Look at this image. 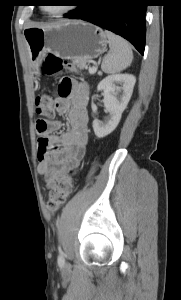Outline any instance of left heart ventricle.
<instances>
[{"label":"left heart ventricle","instance_id":"1","mask_svg":"<svg viewBox=\"0 0 181 300\" xmlns=\"http://www.w3.org/2000/svg\"><path fill=\"white\" fill-rule=\"evenodd\" d=\"M49 2H51L52 4H48L45 6L46 11L49 13H57L61 11L66 7L64 4L67 3L66 1H49ZM53 4H58V5H53Z\"/></svg>","mask_w":181,"mask_h":300}]
</instances>
